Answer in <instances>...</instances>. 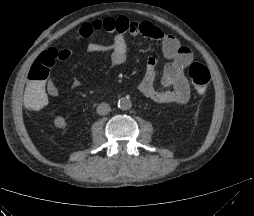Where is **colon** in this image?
I'll return each instance as SVG.
<instances>
[{
  "mask_svg": "<svg viewBox=\"0 0 254 216\" xmlns=\"http://www.w3.org/2000/svg\"><path fill=\"white\" fill-rule=\"evenodd\" d=\"M59 50L50 49L39 56L28 73V82L21 89L23 107L29 113H40L48 103L47 87L44 84L52 67L57 63ZM188 75L199 94L205 93L211 75L207 66L194 62L189 66Z\"/></svg>",
  "mask_w": 254,
  "mask_h": 216,
  "instance_id": "obj_1",
  "label": "colon"
}]
</instances>
